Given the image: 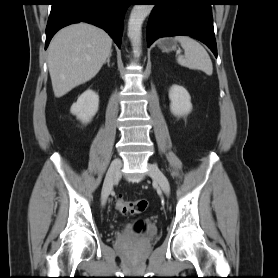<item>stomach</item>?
<instances>
[{
    "mask_svg": "<svg viewBox=\"0 0 278 278\" xmlns=\"http://www.w3.org/2000/svg\"><path fill=\"white\" fill-rule=\"evenodd\" d=\"M158 46L165 52L173 51L176 49V41L172 38H164L158 42Z\"/></svg>",
    "mask_w": 278,
    "mask_h": 278,
    "instance_id": "1",
    "label": "stomach"
}]
</instances>
